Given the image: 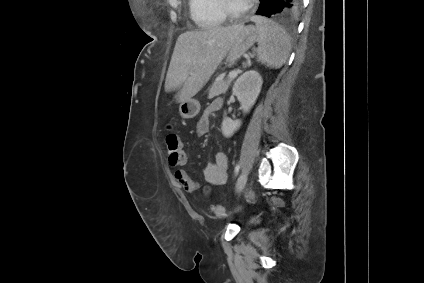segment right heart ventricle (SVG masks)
<instances>
[{
  "label": "right heart ventricle",
  "instance_id": "right-heart-ventricle-1",
  "mask_svg": "<svg viewBox=\"0 0 424 283\" xmlns=\"http://www.w3.org/2000/svg\"><path fill=\"white\" fill-rule=\"evenodd\" d=\"M189 9L191 19L202 29L216 28L226 21L218 0H189Z\"/></svg>",
  "mask_w": 424,
  "mask_h": 283
}]
</instances>
